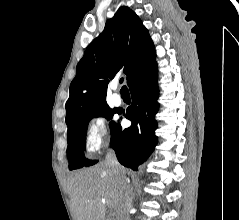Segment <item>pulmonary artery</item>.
<instances>
[{
  "label": "pulmonary artery",
  "mask_w": 239,
  "mask_h": 220,
  "mask_svg": "<svg viewBox=\"0 0 239 220\" xmlns=\"http://www.w3.org/2000/svg\"><path fill=\"white\" fill-rule=\"evenodd\" d=\"M114 88V86H113ZM111 102L114 104V105H120L121 102H122V99H121V96L117 93H114L112 94L111 96Z\"/></svg>",
  "instance_id": "1"
}]
</instances>
